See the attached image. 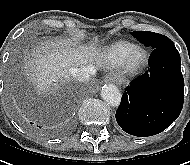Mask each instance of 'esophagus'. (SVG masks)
<instances>
[{
  "mask_svg": "<svg viewBox=\"0 0 190 165\" xmlns=\"http://www.w3.org/2000/svg\"><path fill=\"white\" fill-rule=\"evenodd\" d=\"M105 82H116V77L113 75H108L105 77Z\"/></svg>",
  "mask_w": 190,
  "mask_h": 165,
  "instance_id": "esophagus-1",
  "label": "esophagus"
}]
</instances>
